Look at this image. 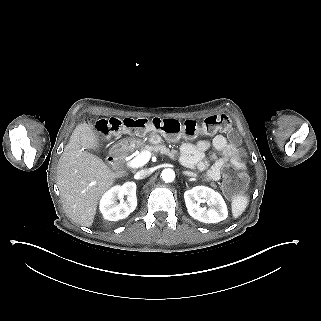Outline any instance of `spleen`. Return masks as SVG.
Masks as SVG:
<instances>
[{"label":"spleen","instance_id":"1","mask_svg":"<svg viewBox=\"0 0 321 321\" xmlns=\"http://www.w3.org/2000/svg\"><path fill=\"white\" fill-rule=\"evenodd\" d=\"M248 201V197L242 194L236 195L232 198L231 210L234 218H238L245 211Z\"/></svg>","mask_w":321,"mask_h":321}]
</instances>
